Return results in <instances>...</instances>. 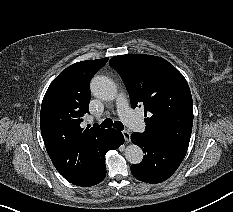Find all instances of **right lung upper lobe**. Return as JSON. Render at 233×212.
I'll use <instances>...</instances> for the list:
<instances>
[{"label":"right lung upper lobe","mask_w":233,"mask_h":212,"mask_svg":"<svg viewBox=\"0 0 233 212\" xmlns=\"http://www.w3.org/2000/svg\"><path fill=\"white\" fill-rule=\"evenodd\" d=\"M108 58L75 63L48 87L40 112L41 134L59 173L73 182L90 171L109 129L81 128L88 113L89 83Z\"/></svg>","instance_id":"right-lung-upper-lobe-1"}]
</instances>
